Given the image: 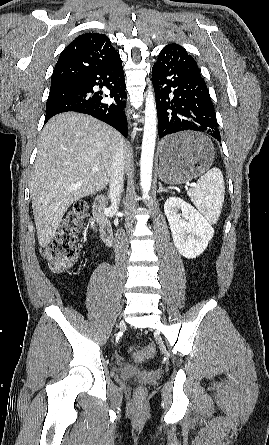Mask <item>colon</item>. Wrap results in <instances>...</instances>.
<instances>
[{
	"label": "colon",
	"instance_id": "colon-1",
	"mask_svg": "<svg viewBox=\"0 0 269 445\" xmlns=\"http://www.w3.org/2000/svg\"><path fill=\"white\" fill-rule=\"evenodd\" d=\"M86 209L84 201L75 202L67 210L52 242L42 250L43 257L55 270L68 269L76 262L79 254L78 233L83 225ZM130 352L136 360L143 362L154 355L155 349L148 345L144 348H132ZM138 392L142 394L143 389L139 388Z\"/></svg>",
	"mask_w": 269,
	"mask_h": 445
}]
</instances>
